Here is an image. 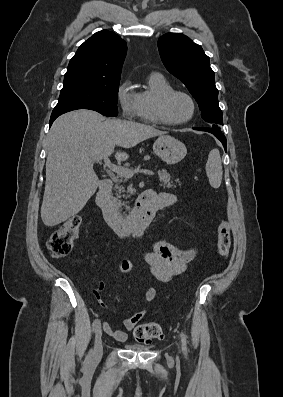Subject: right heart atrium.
Returning <instances> with one entry per match:
<instances>
[{"label":"right heart atrium","instance_id":"d8ad5b80","mask_svg":"<svg viewBox=\"0 0 283 397\" xmlns=\"http://www.w3.org/2000/svg\"><path fill=\"white\" fill-rule=\"evenodd\" d=\"M116 101L123 117L135 119L140 117L138 93L131 86L129 80L122 81L116 90Z\"/></svg>","mask_w":283,"mask_h":397}]
</instances>
